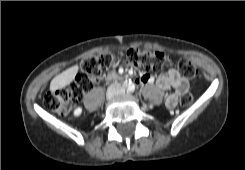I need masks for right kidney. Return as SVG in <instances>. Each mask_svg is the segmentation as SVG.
Segmentation results:
<instances>
[{
	"label": "right kidney",
	"instance_id": "ca27d5eb",
	"mask_svg": "<svg viewBox=\"0 0 245 170\" xmlns=\"http://www.w3.org/2000/svg\"><path fill=\"white\" fill-rule=\"evenodd\" d=\"M81 113H82V108L81 107H77L74 110V112H73V114H74L75 117H79L81 115Z\"/></svg>",
	"mask_w": 245,
	"mask_h": 170
}]
</instances>
